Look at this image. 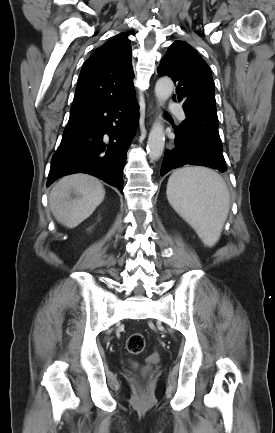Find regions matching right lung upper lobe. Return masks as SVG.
<instances>
[{
    "instance_id": "obj_1",
    "label": "right lung upper lobe",
    "mask_w": 275,
    "mask_h": 433,
    "mask_svg": "<svg viewBox=\"0 0 275 433\" xmlns=\"http://www.w3.org/2000/svg\"><path fill=\"white\" fill-rule=\"evenodd\" d=\"M127 35L124 32L112 37L84 63L71 113L100 101L134 94L131 46Z\"/></svg>"
}]
</instances>
